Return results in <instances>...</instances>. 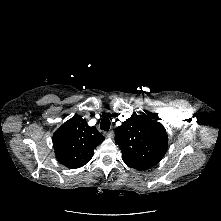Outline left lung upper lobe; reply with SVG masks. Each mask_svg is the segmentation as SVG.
Segmentation results:
<instances>
[{
    "mask_svg": "<svg viewBox=\"0 0 221 221\" xmlns=\"http://www.w3.org/2000/svg\"><path fill=\"white\" fill-rule=\"evenodd\" d=\"M158 117L132 115L116 128L115 142L122 151L123 161L131 168L147 170L165 155L168 135Z\"/></svg>",
    "mask_w": 221,
    "mask_h": 221,
    "instance_id": "1",
    "label": "left lung upper lobe"
}]
</instances>
